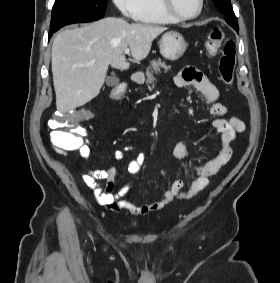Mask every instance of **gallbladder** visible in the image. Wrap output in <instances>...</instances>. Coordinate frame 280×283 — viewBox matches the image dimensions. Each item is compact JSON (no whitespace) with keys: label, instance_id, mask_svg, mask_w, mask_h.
Instances as JSON below:
<instances>
[{"label":"gallbladder","instance_id":"bac80fb5","mask_svg":"<svg viewBox=\"0 0 280 283\" xmlns=\"http://www.w3.org/2000/svg\"><path fill=\"white\" fill-rule=\"evenodd\" d=\"M120 80L114 74H111L106 78V85L109 87H114L119 84Z\"/></svg>","mask_w":280,"mask_h":283}]
</instances>
